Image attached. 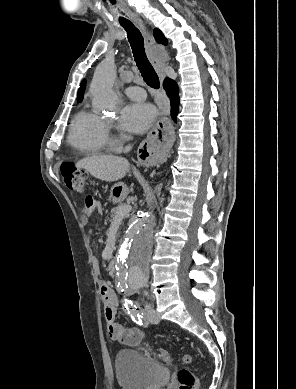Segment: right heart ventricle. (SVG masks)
I'll list each match as a JSON object with an SVG mask.
<instances>
[{
  "label": "right heart ventricle",
  "mask_w": 296,
  "mask_h": 389,
  "mask_svg": "<svg viewBox=\"0 0 296 389\" xmlns=\"http://www.w3.org/2000/svg\"><path fill=\"white\" fill-rule=\"evenodd\" d=\"M68 143L75 150L87 155L106 152L109 148L106 121L93 112H78L70 126Z\"/></svg>",
  "instance_id": "e07e8e85"
}]
</instances>
